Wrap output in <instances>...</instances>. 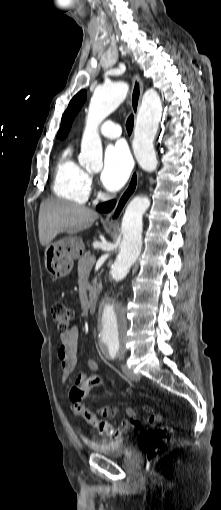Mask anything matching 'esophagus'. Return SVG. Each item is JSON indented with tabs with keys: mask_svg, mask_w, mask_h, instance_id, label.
<instances>
[{
	"mask_svg": "<svg viewBox=\"0 0 221 510\" xmlns=\"http://www.w3.org/2000/svg\"><path fill=\"white\" fill-rule=\"evenodd\" d=\"M143 82L138 74H134L132 78V90H131V107L135 118L137 117L141 97L143 94ZM139 185V172L134 169L126 188L123 190L119 198L117 199L116 205L112 211H110L106 217L105 222L109 225H117L120 216L122 215L126 205L134 196Z\"/></svg>",
	"mask_w": 221,
	"mask_h": 510,
	"instance_id": "34e87169",
	"label": "esophagus"
}]
</instances>
